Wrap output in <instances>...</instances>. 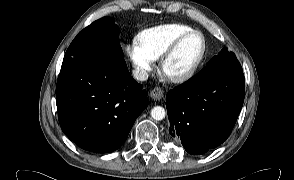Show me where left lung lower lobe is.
Listing matches in <instances>:
<instances>
[{
    "label": "left lung lower lobe",
    "instance_id": "left-lung-lower-lobe-1",
    "mask_svg": "<svg viewBox=\"0 0 294 180\" xmlns=\"http://www.w3.org/2000/svg\"><path fill=\"white\" fill-rule=\"evenodd\" d=\"M243 71H222L205 80L191 78L167 94L171 137L189 154L200 155L222 144L241 111Z\"/></svg>",
    "mask_w": 294,
    "mask_h": 180
}]
</instances>
